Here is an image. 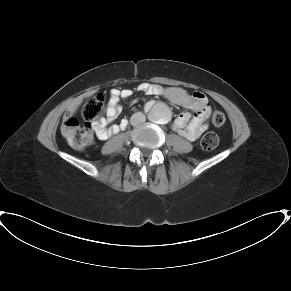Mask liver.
<instances>
[{
  "instance_id": "liver-1",
  "label": "liver",
  "mask_w": 291,
  "mask_h": 291,
  "mask_svg": "<svg viewBox=\"0 0 291 291\" xmlns=\"http://www.w3.org/2000/svg\"><path fill=\"white\" fill-rule=\"evenodd\" d=\"M94 93H95V91H90V92L84 93V94L78 96L77 98H75L67 108V111L70 112V115H73L77 111L78 107L81 105L84 98L90 97ZM67 119H68V117L64 116L63 122H65Z\"/></svg>"
}]
</instances>
